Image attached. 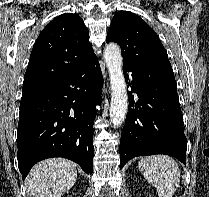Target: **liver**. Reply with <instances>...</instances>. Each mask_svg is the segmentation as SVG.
I'll use <instances>...</instances> for the list:
<instances>
[{
    "instance_id": "1",
    "label": "liver",
    "mask_w": 209,
    "mask_h": 197,
    "mask_svg": "<svg viewBox=\"0 0 209 197\" xmlns=\"http://www.w3.org/2000/svg\"><path fill=\"white\" fill-rule=\"evenodd\" d=\"M77 179L76 164L64 158H51L36 164L26 184L33 197H61Z\"/></svg>"
}]
</instances>
